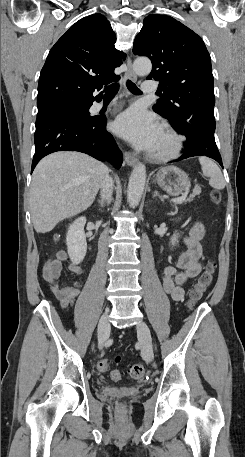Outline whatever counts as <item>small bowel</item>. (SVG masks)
Listing matches in <instances>:
<instances>
[{
    "label": "small bowel",
    "instance_id": "obj_1",
    "mask_svg": "<svg viewBox=\"0 0 245 457\" xmlns=\"http://www.w3.org/2000/svg\"><path fill=\"white\" fill-rule=\"evenodd\" d=\"M205 229L203 224L197 222L191 228L189 235L184 239L186 251L178 258L176 266H166L162 275L163 290L174 300H181L184 296V285L189 279L196 277L201 271L199 262L202 255L201 240ZM68 261V270L80 277L81 267L68 259L65 251L59 250L44 264L42 275L49 284L50 291L59 300L62 308L72 306L82 287L80 279L60 282L63 263Z\"/></svg>",
    "mask_w": 245,
    "mask_h": 457
}]
</instances>
